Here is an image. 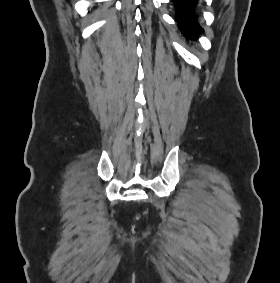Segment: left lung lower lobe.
I'll use <instances>...</instances> for the list:
<instances>
[{
  "mask_svg": "<svg viewBox=\"0 0 280 283\" xmlns=\"http://www.w3.org/2000/svg\"><path fill=\"white\" fill-rule=\"evenodd\" d=\"M175 3L176 22L186 38L194 39L202 30L197 23L195 6L198 0H171Z\"/></svg>",
  "mask_w": 280,
  "mask_h": 283,
  "instance_id": "obj_1",
  "label": "left lung lower lobe"
}]
</instances>
